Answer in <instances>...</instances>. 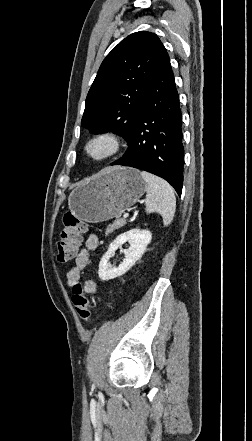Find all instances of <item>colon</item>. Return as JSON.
Segmentation results:
<instances>
[{
  "label": "colon",
  "instance_id": "colon-1",
  "mask_svg": "<svg viewBox=\"0 0 252 441\" xmlns=\"http://www.w3.org/2000/svg\"><path fill=\"white\" fill-rule=\"evenodd\" d=\"M63 225L64 227L57 243V261L62 264L72 260L81 243L82 235L87 232L89 228L87 223L81 221L70 212L63 216ZM72 303L80 318L85 321L89 320L90 302L80 282L73 285Z\"/></svg>",
  "mask_w": 252,
  "mask_h": 441
}]
</instances>
